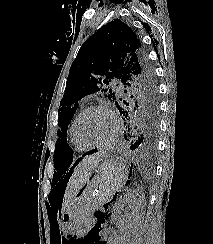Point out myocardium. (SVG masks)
<instances>
[{
  "instance_id": "obj_1",
  "label": "myocardium",
  "mask_w": 213,
  "mask_h": 244,
  "mask_svg": "<svg viewBox=\"0 0 213 244\" xmlns=\"http://www.w3.org/2000/svg\"><path fill=\"white\" fill-rule=\"evenodd\" d=\"M93 110L105 111L110 116V118L113 122V125H114L112 135L106 141H104L102 143H96V144L88 143L81 137V135L79 133V126H80L82 119L84 118V116L88 112L93 111ZM120 129H121V124H120L118 117L115 115L113 110L108 105L102 103V104H95V105H90V106L86 107L77 116V118L75 120V124H74V135H75L76 139L78 140V142L80 144H82L85 148H87V149H102V148L108 147L112 143H114V141L117 139V137L120 133Z\"/></svg>"
}]
</instances>
